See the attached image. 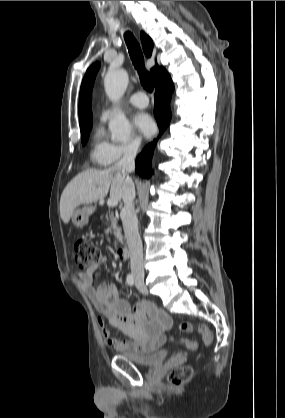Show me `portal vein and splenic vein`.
I'll return each mask as SVG.
<instances>
[{
	"mask_svg": "<svg viewBox=\"0 0 285 418\" xmlns=\"http://www.w3.org/2000/svg\"><path fill=\"white\" fill-rule=\"evenodd\" d=\"M117 204H118V201L116 199H113V198L109 199L108 202H107L108 207H115V206H117Z\"/></svg>",
	"mask_w": 285,
	"mask_h": 418,
	"instance_id": "18ae733b",
	"label": "portal vein and splenic vein"
}]
</instances>
